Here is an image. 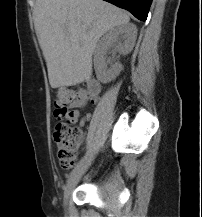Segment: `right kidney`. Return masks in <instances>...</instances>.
I'll use <instances>...</instances> for the list:
<instances>
[{
	"label": "right kidney",
	"instance_id": "1",
	"mask_svg": "<svg viewBox=\"0 0 202 217\" xmlns=\"http://www.w3.org/2000/svg\"><path fill=\"white\" fill-rule=\"evenodd\" d=\"M137 38V28L132 23L119 25L106 33L96 46L94 56V68L97 79L101 83H109L114 80L121 72L122 65L119 62L111 63L107 67L106 52L113 48V54L126 55L132 51ZM114 58V57H113Z\"/></svg>",
	"mask_w": 202,
	"mask_h": 217
}]
</instances>
